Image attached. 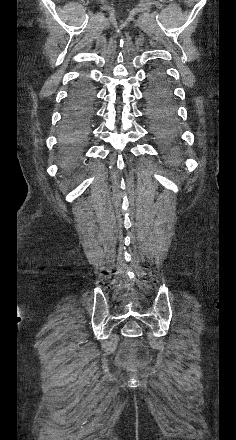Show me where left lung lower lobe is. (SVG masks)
Listing matches in <instances>:
<instances>
[{
    "label": "left lung lower lobe",
    "instance_id": "left-lung-lower-lobe-1",
    "mask_svg": "<svg viewBox=\"0 0 236 440\" xmlns=\"http://www.w3.org/2000/svg\"><path fill=\"white\" fill-rule=\"evenodd\" d=\"M146 92V115L151 121L152 130L164 139L175 134L176 109L172 89L162 71H155L150 78Z\"/></svg>",
    "mask_w": 236,
    "mask_h": 440
}]
</instances>
